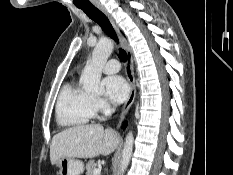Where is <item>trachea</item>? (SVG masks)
<instances>
[{
	"label": "trachea",
	"instance_id": "trachea-1",
	"mask_svg": "<svg viewBox=\"0 0 233 175\" xmlns=\"http://www.w3.org/2000/svg\"><path fill=\"white\" fill-rule=\"evenodd\" d=\"M77 8L83 10L86 15L94 20L96 23H98L103 31L112 38L117 44L119 43L118 37L109 21V19L105 16L104 13H102L98 8H96L91 3L89 4H83V5H77ZM119 58L122 62H125L127 60V53L120 48L119 49Z\"/></svg>",
	"mask_w": 233,
	"mask_h": 175
}]
</instances>
